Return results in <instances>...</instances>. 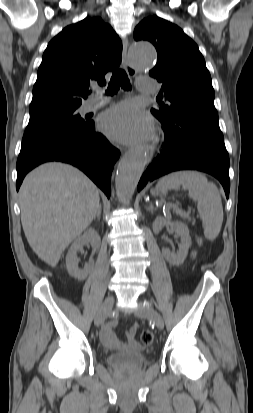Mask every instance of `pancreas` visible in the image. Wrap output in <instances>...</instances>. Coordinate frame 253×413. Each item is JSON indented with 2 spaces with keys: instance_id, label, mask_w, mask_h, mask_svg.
<instances>
[{
  "instance_id": "1",
  "label": "pancreas",
  "mask_w": 253,
  "mask_h": 413,
  "mask_svg": "<svg viewBox=\"0 0 253 413\" xmlns=\"http://www.w3.org/2000/svg\"><path fill=\"white\" fill-rule=\"evenodd\" d=\"M179 214V213H178ZM181 215V214H180ZM182 217L187 218V216L182 215Z\"/></svg>"
}]
</instances>
